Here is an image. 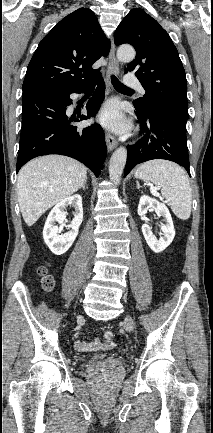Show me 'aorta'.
Wrapping results in <instances>:
<instances>
[{
    "label": "aorta",
    "instance_id": "762f6f07",
    "mask_svg": "<svg viewBox=\"0 0 213 433\" xmlns=\"http://www.w3.org/2000/svg\"><path fill=\"white\" fill-rule=\"evenodd\" d=\"M135 58V50L129 45L120 46L117 50V59L120 62H129ZM127 160V149L125 147H119L112 154L109 163V177L110 179L118 184L120 183L121 175L126 165Z\"/></svg>",
    "mask_w": 213,
    "mask_h": 433
}]
</instances>
